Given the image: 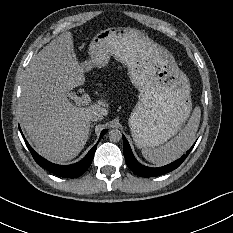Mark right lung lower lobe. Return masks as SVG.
Masks as SVG:
<instances>
[{
	"label": "right lung lower lobe",
	"instance_id": "98d812e1",
	"mask_svg": "<svg viewBox=\"0 0 233 233\" xmlns=\"http://www.w3.org/2000/svg\"><path fill=\"white\" fill-rule=\"evenodd\" d=\"M20 129V127H19ZM20 132L23 136V133L20 129ZM107 132V130H103L100 138ZM24 137V136H23ZM26 145L28 146L34 160L39 164L41 167L45 168L49 172L65 177V178H77L81 176L91 165L93 156L97 147V144L87 153V155L79 162L72 164V165H57L47 161L46 159L42 158L39 154H37L31 146L28 144L27 141Z\"/></svg>",
	"mask_w": 233,
	"mask_h": 233
}]
</instances>
